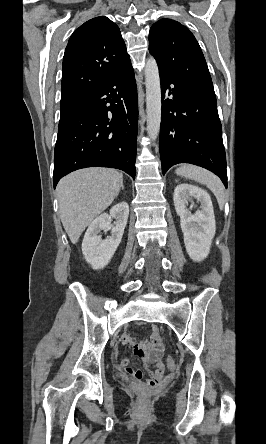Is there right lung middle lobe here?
<instances>
[{
	"mask_svg": "<svg viewBox=\"0 0 266 444\" xmlns=\"http://www.w3.org/2000/svg\"><path fill=\"white\" fill-rule=\"evenodd\" d=\"M78 100H62L60 104V111L64 112L72 105H74Z\"/></svg>",
	"mask_w": 266,
	"mask_h": 444,
	"instance_id": "dd1d6c3e",
	"label": "right lung middle lobe"
}]
</instances>
